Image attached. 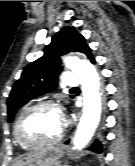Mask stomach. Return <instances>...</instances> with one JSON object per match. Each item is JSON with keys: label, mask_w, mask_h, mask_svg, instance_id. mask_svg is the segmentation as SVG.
<instances>
[{"label": "stomach", "mask_w": 135, "mask_h": 166, "mask_svg": "<svg viewBox=\"0 0 135 166\" xmlns=\"http://www.w3.org/2000/svg\"><path fill=\"white\" fill-rule=\"evenodd\" d=\"M63 155V148L47 147L32 154L27 166H61L60 159Z\"/></svg>", "instance_id": "obj_1"}]
</instances>
